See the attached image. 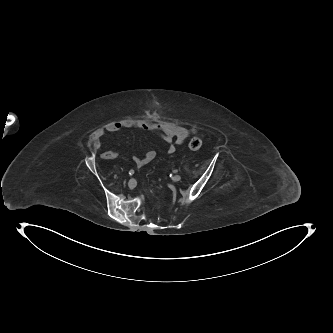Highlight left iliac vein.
Here are the masks:
<instances>
[{
    "label": "left iliac vein",
    "mask_w": 333,
    "mask_h": 333,
    "mask_svg": "<svg viewBox=\"0 0 333 333\" xmlns=\"http://www.w3.org/2000/svg\"><path fill=\"white\" fill-rule=\"evenodd\" d=\"M180 179H181V176L177 174V175L173 176L172 181L178 182V181H180Z\"/></svg>",
    "instance_id": "4c4485c4"
}]
</instances>
